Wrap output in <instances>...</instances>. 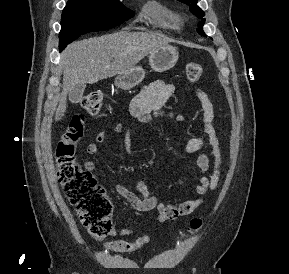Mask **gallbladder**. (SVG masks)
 Returning <instances> with one entry per match:
<instances>
[{
  "label": "gallbladder",
  "instance_id": "1",
  "mask_svg": "<svg viewBox=\"0 0 289 274\" xmlns=\"http://www.w3.org/2000/svg\"><path fill=\"white\" fill-rule=\"evenodd\" d=\"M85 90V85H77L75 86L69 93V99L72 103H78L82 96L83 92Z\"/></svg>",
  "mask_w": 289,
  "mask_h": 274
}]
</instances>
